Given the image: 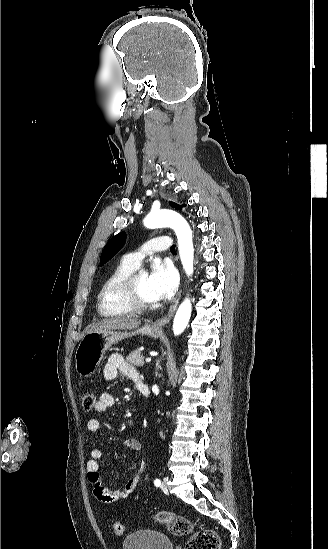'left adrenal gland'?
<instances>
[{"mask_svg":"<svg viewBox=\"0 0 328 549\" xmlns=\"http://www.w3.org/2000/svg\"><path fill=\"white\" fill-rule=\"evenodd\" d=\"M156 367H159V361H157V363H156Z\"/></svg>","mask_w":328,"mask_h":549,"instance_id":"1","label":"left adrenal gland"}]
</instances>
